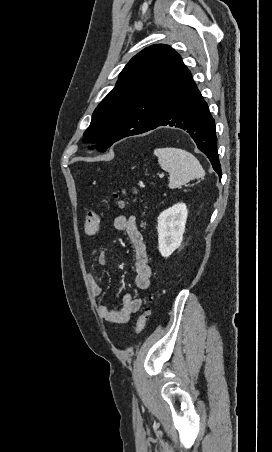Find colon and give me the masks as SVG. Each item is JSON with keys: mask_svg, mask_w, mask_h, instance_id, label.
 <instances>
[{"mask_svg": "<svg viewBox=\"0 0 272 452\" xmlns=\"http://www.w3.org/2000/svg\"><path fill=\"white\" fill-rule=\"evenodd\" d=\"M137 194V191L134 189L132 190V192H127L125 190L119 191V192H115L112 196V199L116 202V204L119 207L124 206L125 202L129 199H133L135 198ZM100 227V215L98 212L91 210L88 212L86 219H85V224H84V229L85 232L89 235H94L98 232ZM153 300V296L149 295L148 296V301L151 302ZM150 315V308L148 306H146L145 308H143L137 323H136V334H140L146 325V322L149 318Z\"/></svg>", "mask_w": 272, "mask_h": 452, "instance_id": "colon-1", "label": "colon"}]
</instances>
